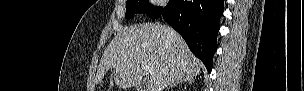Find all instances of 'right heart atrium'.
Masks as SVG:
<instances>
[{"instance_id": "right-heart-atrium-1", "label": "right heart atrium", "mask_w": 304, "mask_h": 91, "mask_svg": "<svg viewBox=\"0 0 304 91\" xmlns=\"http://www.w3.org/2000/svg\"><path fill=\"white\" fill-rule=\"evenodd\" d=\"M162 3H163V2H161V1L155 2L156 5H160V4H162Z\"/></svg>"}]
</instances>
